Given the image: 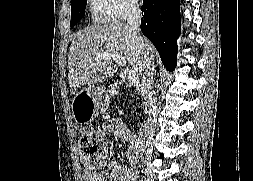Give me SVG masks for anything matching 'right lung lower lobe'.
<instances>
[{
  "instance_id": "right-lung-lower-lobe-1",
  "label": "right lung lower lobe",
  "mask_w": 253,
  "mask_h": 181,
  "mask_svg": "<svg viewBox=\"0 0 253 181\" xmlns=\"http://www.w3.org/2000/svg\"><path fill=\"white\" fill-rule=\"evenodd\" d=\"M179 0H143L141 31L158 50L163 65L174 70L180 35Z\"/></svg>"
}]
</instances>
